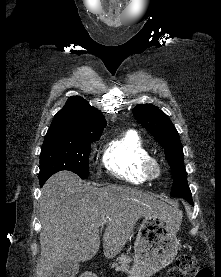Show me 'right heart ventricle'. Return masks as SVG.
I'll return each mask as SVG.
<instances>
[{"instance_id":"e07e8e85","label":"right heart ventricle","mask_w":221,"mask_h":277,"mask_svg":"<svg viewBox=\"0 0 221 277\" xmlns=\"http://www.w3.org/2000/svg\"><path fill=\"white\" fill-rule=\"evenodd\" d=\"M149 156V150L140 135L128 131L109 143L102 161L114 176L138 184L148 179L143 171V162Z\"/></svg>"}]
</instances>
